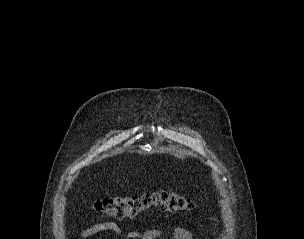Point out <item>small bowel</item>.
Here are the masks:
<instances>
[{
  "mask_svg": "<svg viewBox=\"0 0 304 239\" xmlns=\"http://www.w3.org/2000/svg\"><path fill=\"white\" fill-rule=\"evenodd\" d=\"M108 231L119 235L121 229L114 222L99 223L82 231L80 234V239H88L96 234ZM162 236H164L163 231L157 228L149 229L142 234L136 231H130L127 233L128 239H156ZM165 237L169 239H193L192 233L188 229L181 227L168 232L165 234Z\"/></svg>",
  "mask_w": 304,
  "mask_h": 239,
  "instance_id": "obj_1",
  "label": "small bowel"
}]
</instances>
